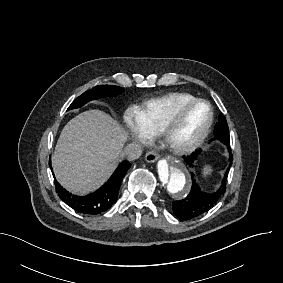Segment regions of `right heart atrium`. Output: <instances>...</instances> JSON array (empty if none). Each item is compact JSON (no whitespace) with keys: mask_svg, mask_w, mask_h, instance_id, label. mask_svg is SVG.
Wrapping results in <instances>:
<instances>
[{"mask_svg":"<svg viewBox=\"0 0 283 283\" xmlns=\"http://www.w3.org/2000/svg\"><path fill=\"white\" fill-rule=\"evenodd\" d=\"M122 141L127 147L143 150L149 146L151 135L137 109L129 106L122 115Z\"/></svg>","mask_w":283,"mask_h":283,"instance_id":"right-heart-atrium-1","label":"right heart atrium"}]
</instances>
